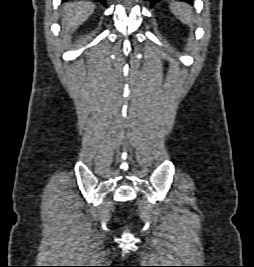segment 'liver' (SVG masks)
Here are the masks:
<instances>
[{
	"mask_svg": "<svg viewBox=\"0 0 254 267\" xmlns=\"http://www.w3.org/2000/svg\"><path fill=\"white\" fill-rule=\"evenodd\" d=\"M95 5L91 2H69L63 5L64 37L72 33L93 13Z\"/></svg>",
	"mask_w": 254,
	"mask_h": 267,
	"instance_id": "6515ba94",
	"label": "liver"
}]
</instances>
